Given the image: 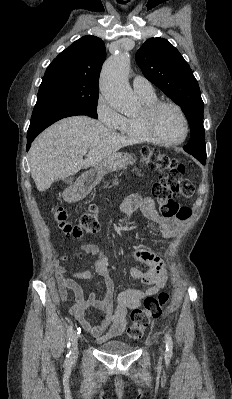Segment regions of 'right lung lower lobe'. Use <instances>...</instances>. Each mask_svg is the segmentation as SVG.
<instances>
[{"mask_svg": "<svg viewBox=\"0 0 232 399\" xmlns=\"http://www.w3.org/2000/svg\"><path fill=\"white\" fill-rule=\"evenodd\" d=\"M76 115L97 118L77 105L57 99L38 97L27 132V150H29L31 142L45 128L62 118Z\"/></svg>", "mask_w": 232, "mask_h": 399, "instance_id": "right-lung-lower-lobe-1", "label": "right lung lower lobe"}]
</instances>
